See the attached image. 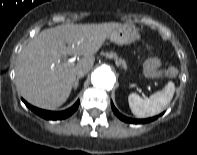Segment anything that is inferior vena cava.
<instances>
[{"instance_id":"1","label":"inferior vena cava","mask_w":197,"mask_h":155,"mask_svg":"<svg viewBox=\"0 0 197 155\" xmlns=\"http://www.w3.org/2000/svg\"><path fill=\"white\" fill-rule=\"evenodd\" d=\"M88 73V71L86 70V69H79L78 71H77V76L79 77V76H84L85 74H87Z\"/></svg>"}]
</instances>
